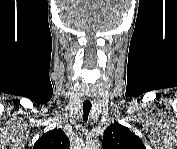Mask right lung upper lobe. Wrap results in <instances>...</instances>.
<instances>
[{
  "mask_svg": "<svg viewBox=\"0 0 177 149\" xmlns=\"http://www.w3.org/2000/svg\"><path fill=\"white\" fill-rule=\"evenodd\" d=\"M70 141L61 129L45 133L34 144V149H69Z\"/></svg>",
  "mask_w": 177,
  "mask_h": 149,
  "instance_id": "right-lung-upper-lobe-1",
  "label": "right lung upper lobe"
}]
</instances>
